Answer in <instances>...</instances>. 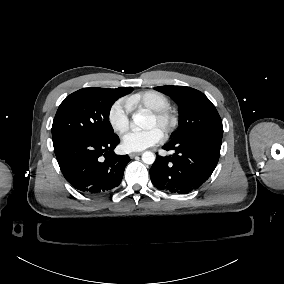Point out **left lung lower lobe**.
<instances>
[{
	"instance_id": "left-lung-lower-lobe-1",
	"label": "left lung lower lobe",
	"mask_w": 284,
	"mask_h": 284,
	"mask_svg": "<svg viewBox=\"0 0 284 284\" xmlns=\"http://www.w3.org/2000/svg\"><path fill=\"white\" fill-rule=\"evenodd\" d=\"M222 139L207 135L170 141L163 148L174 150L171 157L157 156L150 169L153 185L164 191L187 194L201 186L214 171Z\"/></svg>"
}]
</instances>
